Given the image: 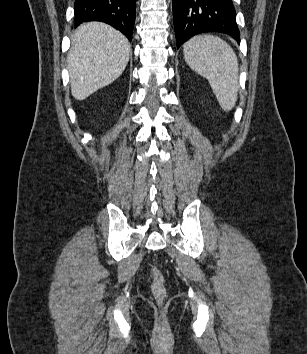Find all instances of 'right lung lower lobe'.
Returning <instances> with one entry per match:
<instances>
[{
  "label": "right lung lower lobe",
  "mask_w": 307,
  "mask_h": 354,
  "mask_svg": "<svg viewBox=\"0 0 307 354\" xmlns=\"http://www.w3.org/2000/svg\"><path fill=\"white\" fill-rule=\"evenodd\" d=\"M75 26L86 21H102L131 40L135 22V0H76Z\"/></svg>",
  "instance_id": "98d812e1"
}]
</instances>
